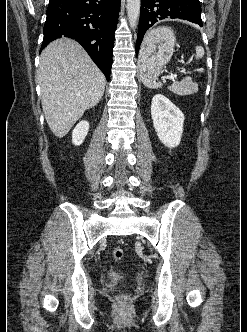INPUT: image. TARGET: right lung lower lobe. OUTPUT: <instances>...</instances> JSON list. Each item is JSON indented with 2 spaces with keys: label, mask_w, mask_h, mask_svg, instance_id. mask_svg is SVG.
Here are the masks:
<instances>
[{
  "label": "right lung lower lobe",
  "mask_w": 247,
  "mask_h": 332,
  "mask_svg": "<svg viewBox=\"0 0 247 332\" xmlns=\"http://www.w3.org/2000/svg\"><path fill=\"white\" fill-rule=\"evenodd\" d=\"M119 11L120 0H50L41 48L62 36L75 39L109 80Z\"/></svg>",
  "instance_id": "1"
}]
</instances>
